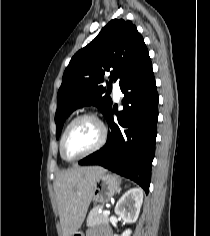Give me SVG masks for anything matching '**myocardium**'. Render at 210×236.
Wrapping results in <instances>:
<instances>
[{"label":"myocardium","instance_id":"f54148a6","mask_svg":"<svg viewBox=\"0 0 210 236\" xmlns=\"http://www.w3.org/2000/svg\"><path fill=\"white\" fill-rule=\"evenodd\" d=\"M82 119H91V120L95 121L100 129V136H99L97 143L92 148H90L89 150H87L86 152L82 153L81 155H79L75 158L69 159V158L65 157V155H64V151H63L64 141H65L68 131L73 126V124H75L77 121L82 120ZM107 136H108L107 128H106L105 124L103 123V121L96 114H94V113L80 114L70 121V123L66 126V128L61 136V139H60L61 157L67 162H75L77 160H80V159L96 152L101 147H103V145L105 144V142L107 140Z\"/></svg>","mask_w":210,"mask_h":236}]
</instances>
